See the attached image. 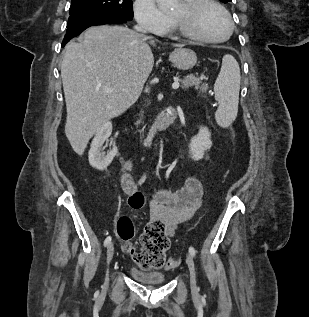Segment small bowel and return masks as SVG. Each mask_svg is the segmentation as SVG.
<instances>
[{"mask_svg":"<svg viewBox=\"0 0 309 317\" xmlns=\"http://www.w3.org/2000/svg\"><path fill=\"white\" fill-rule=\"evenodd\" d=\"M130 169L131 163L126 162L121 179L123 190L128 195H132L136 190ZM202 199V184L195 177L188 178L185 187L177 191L157 189L150 204L152 219L162 222L167 233L172 236L177 226L190 219L201 206Z\"/></svg>","mask_w":309,"mask_h":317,"instance_id":"small-bowel-1","label":"small bowel"}]
</instances>
